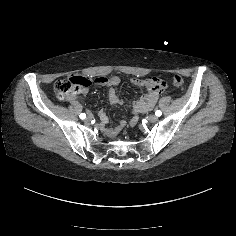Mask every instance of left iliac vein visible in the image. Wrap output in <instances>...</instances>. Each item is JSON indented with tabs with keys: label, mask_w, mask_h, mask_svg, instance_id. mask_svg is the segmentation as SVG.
I'll return each instance as SVG.
<instances>
[{
	"label": "left iliac vein",
	"mask_w": 236,
	"mask_h": 236,
	"mask_svg": "<svg viewBox=\"0 0 236 236\" xmlns=\"http://www.w3.org/2000/svg\"><path fill=\"white\" fill-rule=\"evenodd\" d=\"M148 121L151 122V123H155L158 121V116L152 114L148 117Z\"/></svg>",
	"instance_id": "left-iliac-vein-1"
}]
</instances>
